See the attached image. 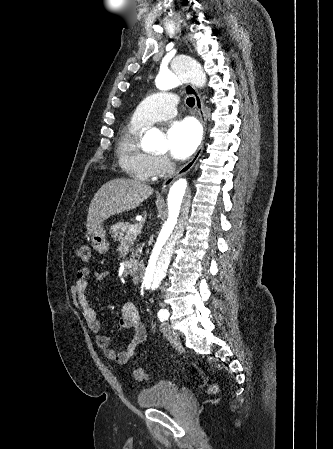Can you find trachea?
Instances as JSON below:
<instances>
[{"instance_id": "1", "label": "trachea", "mask_w": 333, "mask_h": 449, "mask_svg": "<svg viewBox=\"0 0 333 449\" xmlns=\"http://www.w3.org/2000/svg\"><path fill=\"white\" fill-rule=\"evenodd\" d=\"M186 103L189 107H193L195 104V100L193 97H189V98H187Z\"/></svg>"}]
</instances>
